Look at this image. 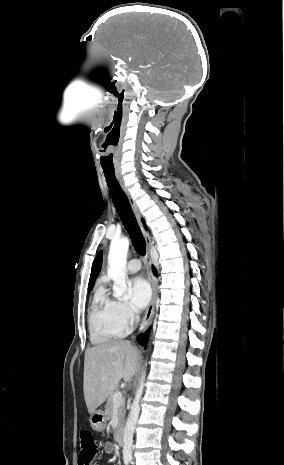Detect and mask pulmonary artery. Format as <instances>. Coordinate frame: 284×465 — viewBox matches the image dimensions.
Listing matches in <instances>:
<instances>
[{
    "mask_svg": "<svg viewBox=\"0 0 284 465\" xmlns=\"http://www.w3.org/2000/svg\"><path fill=\"white\" fill-rule=\"evenodd\" d=\"M141 268V263L139 260L137 259H133V260H130L127 264V272L130 273V274H134L136 272H138Z\"/></svg>",
    "mask_w": 284,
    "mask_h": 465,
    "instance_id": "pulmonary-artery-1",
    "label": "pulmonary artery"
}]
</instances>
